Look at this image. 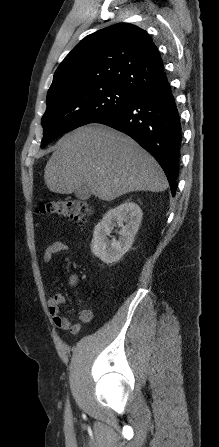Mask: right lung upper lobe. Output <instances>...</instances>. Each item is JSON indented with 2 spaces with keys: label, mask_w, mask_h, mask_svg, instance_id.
I'll return each mask as SVG.
<instances>
[{
  "label": "right lung upper lobe",
  "mask_w": 219,
  "mask_h": 447,
  "mask_svg": "<svg viewBox=\"0 0 219 447\" xmlns=\"http://www.w3.org/2000/svg\"><path fill=\"white\" fill-rule=\"evenodd\" d=\"M166 80L160 53L149 34L119 23L85 37L57 68L48 94L113 85L137 96Z\"/></svg>",
  "instance_id": "obj_1"
}]
</instances>
